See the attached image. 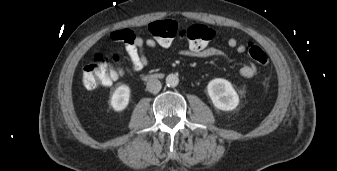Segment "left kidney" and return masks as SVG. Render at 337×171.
Returning <instances> with one entry per match:
<instances>
[{
    "instance_id": "obj_1",
    "label": "left kidney",
    "mask_w": 337,
    "mask_h": 171,
    "mask_svg": "<svg viewBox=\"0 0 337 171\" xmlns=\"http://www.w3.org/2000/svg\"><path fill=\"white\" fill-rule=\"evenodd\" d=\"M213 105L223 111L234 110L239 104V96L232 84L225 79L216 78L207 85Z\"/></svg>"
}]
</instances>
